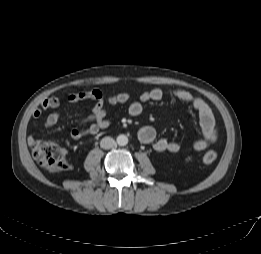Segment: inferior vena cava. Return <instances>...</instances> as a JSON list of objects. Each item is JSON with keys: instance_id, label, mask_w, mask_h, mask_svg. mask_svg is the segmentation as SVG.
<instances>
[{"instance_id": "inferior-vena-cava-1", "label": "inferior vena cava", "mask_w": 261, "mask_h": 254, "mask_svg": "<svg viewBox=\"0 0 261 254\" xmlns=\"http://www.w3.org/2000/svg\"><path fill=\"white\" fill-rule=\"evenodd\" d=\"M115 140L111 137H104L102 138L101 142H100V146L103 149H110L113 148L115 146Z\"/></svg>"}]
</instances>
